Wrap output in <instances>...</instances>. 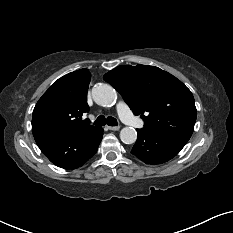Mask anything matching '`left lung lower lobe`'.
Here are the masks:
<instances>
[{
    "label": "left lung lower lobe",
    "mask_w": 233,
    "mask_h": 233,
    "mask_svg": "<svg viewBox=\"0 0 233 233\" xmlns=\"http://www.w3.org/2000/svg\"><path fill=\"white\" fill-rule=\"evenodd\" d=\"M137 134V141L131 153L151 165L172 159L188 141L171 135L153 133L143 128L137 129Z\"/></svg>",
    "instance_id": "1"
}]
</instances>
